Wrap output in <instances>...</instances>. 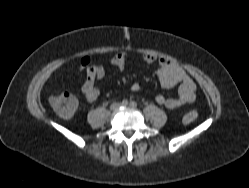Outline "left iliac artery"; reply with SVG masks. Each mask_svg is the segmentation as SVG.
<instances>
[{"label": "left iliac artery", "instance_id": "1", "mask_svg": "<svg viewBox=\"0 0 249 188\" xmlns=\"http://www.w3.org/2000/svg\"><path fill=\"white\" fill-rule=\"evenodd\" d=\"M130 106L133 107V108H135V107H137V103L135 101H131L130 102Z\"/></svg>", "mask_w": 249, "mask_h": 188}]
</instances>
